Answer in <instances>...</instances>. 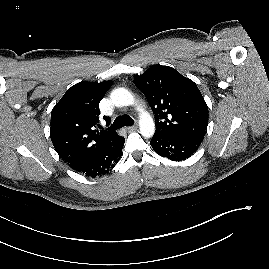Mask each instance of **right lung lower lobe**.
<instances>
[{
    "instance_id": "right-lung-lower-lobe-1",
    "label": "right lung lower lobe",
    "mask_w": 269,
    "mask_h": 269,
    "mask_svg": "<svg viewBox=\"0 0 269 269\" xmlns=\"http://www.w3.org/2000/svg\"><path fill=\"white\" fill-rule=\"evenodd\" d=\"M124 141L123 137L117 135L109 144L72 168L92 178L107 174L120 160Z\"/></svg>"
}]
</instances>
